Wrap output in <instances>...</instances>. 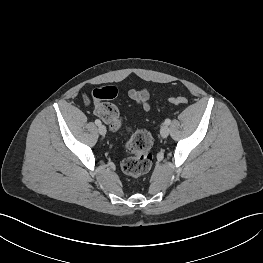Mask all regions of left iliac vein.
<instances>
[{"mask_svg": "<svg viewBox=\"0 0 263 263\" xmlns=\"http://www.w3.org/2000/svg\"><path fill=\"white\" fill-rule=\"evenodd\" d=\"M170 133V129L168 127V125L164 124L162 125L161 129H160V134L163 138H166Z\"/></svg>", "mask_w": 263, "mask_h": 263, "instance_id": "obj_1", "label": "left iliac vein"}]
</instances>
